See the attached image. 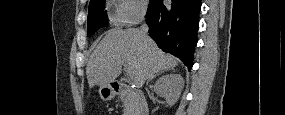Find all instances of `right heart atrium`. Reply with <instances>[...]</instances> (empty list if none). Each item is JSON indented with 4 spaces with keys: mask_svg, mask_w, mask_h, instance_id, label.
<instances>
[{
    "mask_svg": "<svg viewBox=\"0 0 285 115\" xmlns=\"http://www.w3.org/2000/svg\"><path fill=\"white\" fill-rule=\"evenodd\" d=\"M146 7L144 0H117L114 20L119 25H134L144 17Z\"/></svg>",
    "mask_w": 285,
    "mask_h": 115,
    "instance_id": "d8ad5b80",
    "label": "right heart atrium"
}]
</instances>
